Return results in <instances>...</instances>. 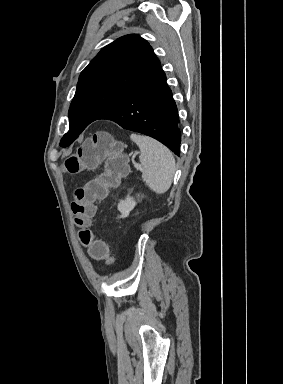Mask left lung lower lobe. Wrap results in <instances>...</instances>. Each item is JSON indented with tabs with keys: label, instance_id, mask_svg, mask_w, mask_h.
I'll return each mask as SVG.
<instances>
[{
	"label": "left lung lower lobe",
	"instance_id": "1",
	"mask_svg": "<svg viewBox=\"0 0 283 384\" xmlns=\"http://www.w3.org/2000/svg\"><path fill=\"white\" fill-rule=\"evenodd\" d=\"M98 119L112 120L125 129L153 137L179 155L178 111L161 66Z\"/></svg>",
	"mask_w": 283,
	"mask_h": 384
}]
</instances>
